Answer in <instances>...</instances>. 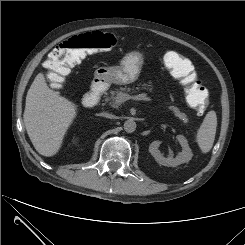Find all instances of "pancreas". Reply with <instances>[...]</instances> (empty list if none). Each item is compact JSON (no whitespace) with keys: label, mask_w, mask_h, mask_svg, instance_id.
Segmentation results:
<instances>
[{"label":"pancreas","mask_w":245,"mask_h":245,"mask_svg":"<svg viewBox=\"0 0 245 245\" xmlns=\"http://www.w3.org/2000/svg\"><path fill=\"white\" fill-rule=\"evenodd\" d=\"M131 89L130 88H120V89H114V90H111L110 91V96H108V94H106V98H105V103H108L110 104L111 106H116L117 105V102H116V98L122 94V93H125V92H130ZM126 94V93H125ZM169 110H171L174 115L176 117H178L180 120H182L184 123H187L188 122V118L186 116L185 113H182L179 108L175 107V106H169L168 107Z\"/></svg>","instance_id":"1"}]
</instances>
